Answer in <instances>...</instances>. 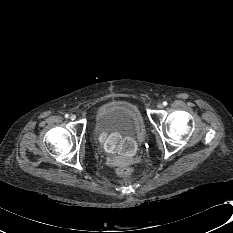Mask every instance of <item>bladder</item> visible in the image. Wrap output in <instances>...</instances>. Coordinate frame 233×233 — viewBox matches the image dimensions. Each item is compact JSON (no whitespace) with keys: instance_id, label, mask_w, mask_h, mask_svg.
I'll use <instances>...</instances> for the list:
<instances>
[{"instance_id":"1","label":"bladder","mask_w":233,"mask_h":233,"mask_svg":"<svg viewBox=\"0 0 233 233\" xmlns=\"http://www.w3.org/2000/svg\"><path fill=\"white\" fill-rule=\"evenodd\" d=\"M92 132L96 139L105 133H117L142 141L146 138L147 126L136 105L128 102H110L96 111Z\"/></svg>"}]
</instances>
